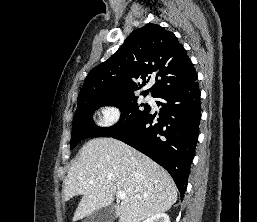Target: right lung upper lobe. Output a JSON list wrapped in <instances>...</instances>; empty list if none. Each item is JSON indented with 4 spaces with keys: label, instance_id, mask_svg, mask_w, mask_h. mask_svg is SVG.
<instances>
[{
    "label": "right lung upper lobe",
    "instance_id": "right-lung-upper-lobe-1",
    "mask_svg": "<svg viewBox=\"0 0 257 222\" xmlns=\"http://www.w3.org/2000/svg\"><path fill=\"white\" fill-rule=\"evenodd\" d=\"M156 75L155 84L143 95L152 96L193 81L196 71L176 36L158 24L149 23L133 31L108 60L87 75L77 102L96 96H129ZM148 79L146 80V78ZM77 103V104H78Z\"/></svg>",
    "mask_w": 257,
    "mask_h": 222
}]
</instances>
